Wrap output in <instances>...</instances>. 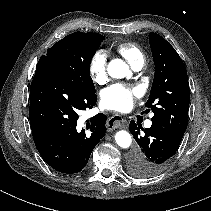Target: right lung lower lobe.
Returning <instances> with one entry per match:
<instances>
[{"label":"right lung lower lobe","instance_id":"right-lung-lower-lobe-1","mask_svg":"<svg viewBox=\"0 0 211 211\" xmlns=\"http://www.w3.org/2000/svg\"><path fill=\"white\" fill-rule=\"evenodd\" d=\"M95 104V93L51 69L36 68L30 86V124L38 152L53 169L78 173L86 166L105 135L107 116L99 113L81 127L78 113Z\"/></svg>","mask_w":211,"mask_h":211}]
</instances>
